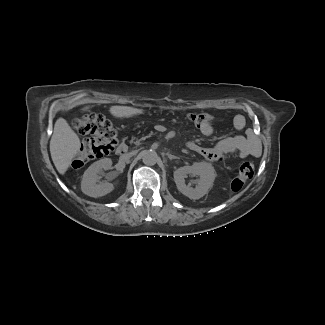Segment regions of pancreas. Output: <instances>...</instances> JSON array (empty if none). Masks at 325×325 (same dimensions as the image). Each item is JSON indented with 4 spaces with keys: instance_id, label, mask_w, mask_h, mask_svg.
<instances>
[{
    "instance_id": "obj_1",
    "label": "pancreas",
    "mask_w": 325,
    "mask_h": 325,
    "mask_svg": "<svg viewBox=\"0 0 325 325\" xmlns=\"http://www.w3.org/2000/svg\"><path fill=\"white\" fill-rule=\"evenodd\" d=\"M145 136H146V137H147V136L150 137L151 135H150V134H149V135L146 134ZM140 140L142 141L143 139L141 138ZM140 140H135L134 143H133L134 146H136V147L139 146V144H140Z\"/></svg>"
}]
</instances>
